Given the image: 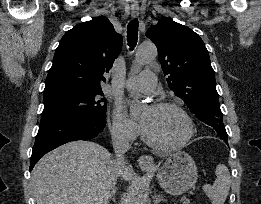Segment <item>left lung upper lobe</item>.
<instances>
[{"label": "left lung upper lobe", "mask_w": 261, "mask_h": 204, "mask_svg": "<svg viewBox=\"0 0 261 204\" xmlns=\"http://www.w3.org/2000/svg\"><path fill=\"white\" fill-rule=\"evenodd\" d=\"M146 36L158 49V58L170 89L201 121L212 126L225 142L228 135L222 121L215 73L200 36L190 28L163 18Z\"/></svg>", "instance_id": "obj_1"}]
</instances>
